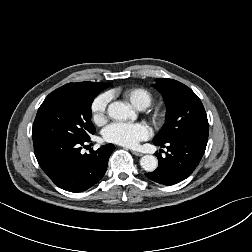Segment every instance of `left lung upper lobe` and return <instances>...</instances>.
Here are the masks:
<instances>
[{
    "label": "left lung upper lobe",
    "instance_id": "1",
    "mask_svg": "<svg viewBox=\"0 0 252 252\" xmlns=\"http://www.w3.org/2000/svg\"><path fill=\"white\" fill-rule=\"evenodd\" d=\"M156 82L153 86L163 95L167 113L165 124L153 142L163 144L187 135L208 138L207 115L199 97L176 80L160 78Z\"/></svg>",
    "mask_w": 252,
    "mask_h": 252
}]
</instances>
